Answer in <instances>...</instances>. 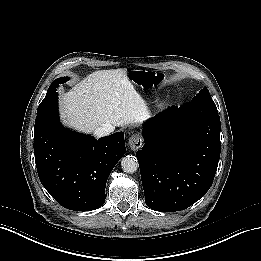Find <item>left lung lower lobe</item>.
<instances>
[{
	"instance_id": "0a47b994",
	"label": "left lung lower lobe",
	"mask_w": 261,
	"mask_h": 261,
	"mask_svg": "<svg viewBox=\"0 0 261 261\" xmlns=\"http://www.w3.org/2000/svg\"><path fill=\"white\" fill-rule=\"evenodd\" d=\"M143 136L136 156L149 208L180 211L205 195L220 158L216 107L190 102L169 108L146 122Z\"/></svg>"
}]
</instances>
